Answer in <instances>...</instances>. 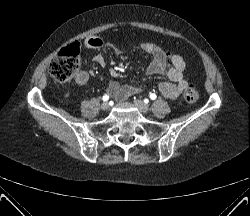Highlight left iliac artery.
I'll list each match as a JSON object with an SVG mask.
<instances>
[{"label":"left iliac artery","instance_id":"left-iliac-artery-1","mask_svg":"<svg viewBox=\"0 0 250 216\" xmlns=\"http://www.w3.org/2000/svg\"><path fill=\"white\" fill-rule=\"evenodd\" d=\"M156 97H157L156 94H154V93H151V94H150V99L155 100Z\"/></svg>","mask_w":250,"mask_h":216}]
</instances>
